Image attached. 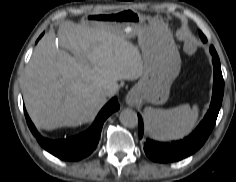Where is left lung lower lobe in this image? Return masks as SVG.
I'll return each instance as SVG.
<instances>
[{"label":"left lung lower lobe","instance_id":"1","mask_svg":"<svg viewBox=\"0 0 236 182\" xmlns=\"http://www.w3.org/2000/svg\"><path fill=\"white\" fill-rule=\"evenodd\" d=\"M223 94L224 80L221 67L220 65H214L213 94L210 108L198 127L184 140L172 143H159L147 139L144 144L146 155L155 162L166 163L182 160L196 152L205 143L215 125ZM138 118L139 137L141 138L143 135V123L140 115H138Z\"/></svg>","mask_w":236,"mask_h":182}]
</instances>
